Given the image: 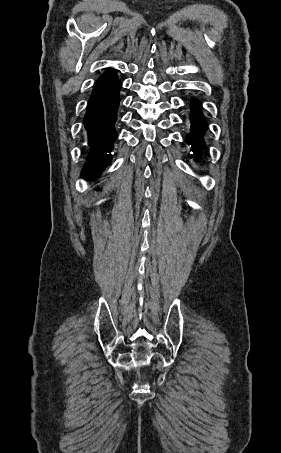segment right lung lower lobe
<instances>
[{"label":"right lung lower lobe","instance_id":"obj_1","mask_svg":"<svg viewBox=\"0 0 281 453\" xmlns=\"http://www.w3.org/2000/svg\"><path fill=\"white\" fill-rule=\"evenodd\" d=\"M121 82L113 70H108L96 81L84 126L88 134L89 152L82 176L86 179L97 177L111 162L113 142L117 137L114 124L120 97Z\"/></svg>","mask_w":281,"mask_h":453}]
</instances>
